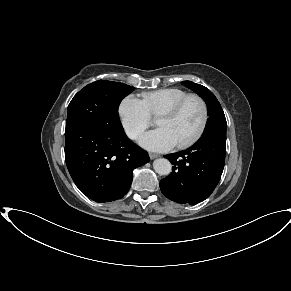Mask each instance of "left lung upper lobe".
Segmentation results:
<instances>
[{
  "mask_svg": "<svg viewBox=\"0 0 291 291\" xmlns=\"http://www.w3.org/2000/svg\"><path fill=\"white\" fill-rule=\"evenodd\" d=\"M182 84L196 92L207 104L209 118L202 136L211 134L226 135V118L215 95L206 87L191 81H183Z\"/></svg>",
  "mask_w": 291,
  "mask_h": 291,
  "instance_id": "5c2ea615",
  "label": "left lung upper lobe"
}]
</instances>
